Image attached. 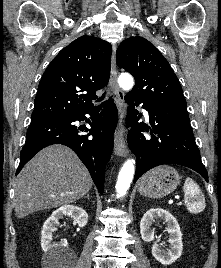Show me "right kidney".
<instances>
[{"label":"right kidney","mask_w":221,"mask_h":268,"mask_svg":"<svg viewBox=\"0 0 221 268\" xmlns=\"http://www.w3.org/2000/svg\"><path fill=\"white\" fill-rule=\"evenodd\" d=\"M64 216L73 218L79 227H84L88 222V214L81 207L64 205L55 210L45 221L41 232V247L47 254H54L58 249L66 247L68 244L66 239L58 243L52 242V234L57 230L56 225L59 224V219Z\"/></svg>","instance_id":"ca27d5eb"}]
</instances>
